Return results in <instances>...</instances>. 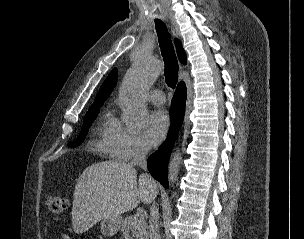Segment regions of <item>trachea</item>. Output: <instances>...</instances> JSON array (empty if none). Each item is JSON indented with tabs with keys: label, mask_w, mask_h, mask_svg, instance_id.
Returning a JSON list of instances; mask_svg holds the SVG:
<instances>
[{
	"label": "trachea",
	"mask_w": 304,
	"mask_h": 239,
	"mask_svg": "<svg viewBox=\"0 0 304 239\" xmlns=\"http://www.w3.org/2000/svg\"><path fill=\"white\" fill-rule=\"evenodd\" d=\"M150 12L153 14V17L157 19L155 21V24H156V31L162 52V57L165 63V69H164L165 81L170 88H175L178 82L179 67H178V61L174 51V47L171 41V36L165 24L161 20H158L160 14L157 12V9L155 7H152L150 9Z\"/></svg>",
	"instance_id": "obj_1"
}]
</instances>
